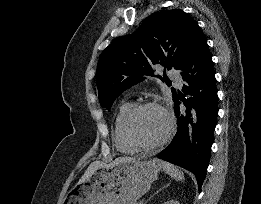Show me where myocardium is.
Wrapping results in <instances>:
<instances>
[{
    "mask_svg": "<svg viewBox=\"0 0 261 204\" xmlns=\"http://www.w3.org/2000/svg\"><path fill=\"white\" fill-rule=\"evenodd\" d=\"M147 108H157L159 109L166 117L167 120V129L165 134L161 139H159L157 142L152 144H144L138 141L131 132V124L134 120V118L143 110ZM122 131L125 139L129 144H131L134 148L137 150H154L157 149L164 144H166L169 139L171 138L173 132H174V117L168 107L163 105L162 103L158 101H145L142 103H139L131 108V110L127 113V115L124 118L123 124H122Z\"/></svg>",
    "mask_w": 261,
    "mask_h": 204,
    "instance_id": "1",
    "label": "myocardium"
}]
</instances>
